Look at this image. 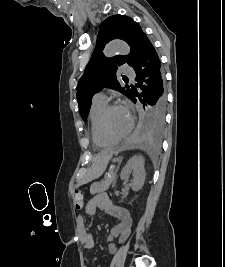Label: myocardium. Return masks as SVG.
<instances>
[{"label": "myocardium", "instance_id": "myocardium-1", "mask_svg": "<svg viewBox=\"0 0 225 267\" xmlns=\"http://www.w3.org/2000/svg\"><path fill=\"white\" fill-rule=\"evenodd\" d=\"M115 108H122V107L118 104H106V106L103 108V110L99 116V120H98V129H99L100 134L102 135V137L105 140L113 143L114 145L126 140L127 137L129 136V134L131 133L133 126H134L133 118H132V116L129 115L130 123H129V127H128L127 131L124 133V135H122L121 137H118V138L112 137L106 130L105 120H106L107 114Z\"/></svg>", "mask_w": 225, "mask_h": 267}]
</instances>
